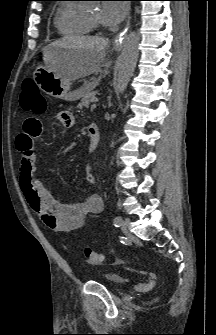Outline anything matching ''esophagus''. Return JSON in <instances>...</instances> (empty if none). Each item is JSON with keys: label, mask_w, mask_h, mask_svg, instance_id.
Here are the masks:
<instances>
[{"label": "esophagus", "mask_w": 216, "mask_h": 335, "mask_svg": "<svg viewBox=\"0 0 216 335\" xmlns=\"http://www.w3.org/2000/svg\"><path fill=\"white\" fill-rule=\"evenodd\" d=\"M130 20H131V17H130V14H129L124 29L122 31H120L114 38V45L116 47H119L121 45L123 39L125 38V36L127 34V31L129 29V26H130Z\"/></svg>", "instance_id": "1"}]
</instances>
